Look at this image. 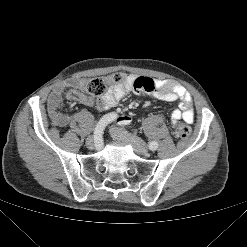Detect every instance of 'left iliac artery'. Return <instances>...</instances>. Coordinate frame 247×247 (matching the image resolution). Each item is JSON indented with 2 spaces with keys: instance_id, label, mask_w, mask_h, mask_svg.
<instances>
[{
  "instance_id": "44dca946",
  "label": "left iliac artery",
  "mask_w": 247,
  "mask_h": 247,
  "mask_svg": "<svg viewBox=\"0 0 247 247\" xmlns=\"http://www.w3.org/2000/svg\"><path fill=\"white\" fill-rule=\"evenodd\" d=\"M157 148H158V143L157 142H155V141L150 142V144H149V149L150 150L154 151Z\"/></svg>"
}]
</instances>
